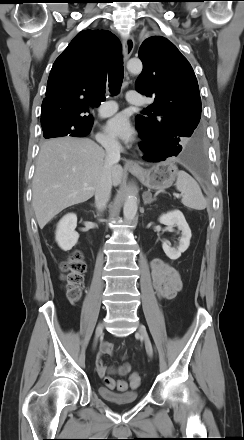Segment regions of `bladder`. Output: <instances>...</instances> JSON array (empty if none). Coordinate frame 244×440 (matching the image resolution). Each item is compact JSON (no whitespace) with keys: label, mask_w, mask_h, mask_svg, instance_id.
<instances>
[{"label":"bladder","mask_w":244,"mask_h":440,"mask_svg":"<svg viewBox=\"0 0 244 440\" xmlns=\"http://www.w3.org/2000/svg\"><path fill=\"white\" fill-rule=\"evenodd\" d=\"M98 394L102 399L113 404H130L137 402L139 399V392L136 390L115 392L105 386L98 388Z\"/></svg>","instance_id":"1"}]
</instances>
